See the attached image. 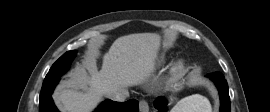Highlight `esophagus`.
<instances>
[{
	"mask_svg": "<svg viewBox=\"0 0 270 112\" xmlns=\"http://www.w3.org/2000/svg\"><path fill=\"white\" fill-rule=\"evenodd\" d=\"M139 110H140V112H148L149 111V105L145 100H141L139 102Z\"/></svg>",
	"mask_w": 270,
	"mask_h": 112,
	"instance_id": "34e87169",
	"label": "esophagus"
}]
</instances>
